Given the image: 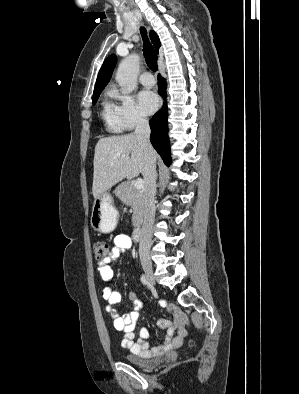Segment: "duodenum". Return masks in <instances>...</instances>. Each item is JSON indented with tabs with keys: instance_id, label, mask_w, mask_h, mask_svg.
Here are the masks:
<instances>
[{
	"instance_id": "obj_1",
	"label": "duodenum",
	"mask_w": 299,
	"mask_h": 394,
	"mask_svg": "<svg viewBox=\"0 0 299 394\" xmlns=\"http://www.w3.org/2000/svg\"><path fill=\"white\" fill-rule=\"evenodd\" d=\"M133 238H134L135 240H139V239L141 238V227H140V226H137V227L134 229Z\"/></svg>"
}]
</instances>
